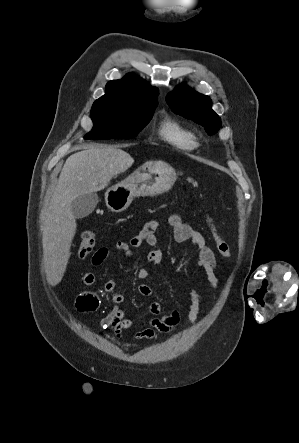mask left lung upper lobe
I'll return each mask as SVG.
<instances>
[{
  "mask_svg": "<svg viewBox=\"0 0 299 443\" xmlns=\"http://www.w3.org/2000/svg\"><path fill=\"white\" fill-rule=\"evenodd\" d=\"M166 101L174 113L202 125L209 135L221 127L220 117L212 110L211 99L185 85L170 92Z\"/></svg>",
  "mask_w": 299,
  "mask_h": 443,
  "instance_id": "1",
  "label": "left lung upper lobe"
}]
</instances>
